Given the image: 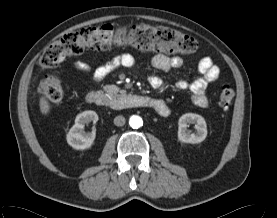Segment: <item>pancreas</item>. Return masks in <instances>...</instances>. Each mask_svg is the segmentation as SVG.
Returning a JSON list of instances; mask_svg holds the SVG:
<instances>
[{
  "instance_id": "1",
  "label": "pancreas",
  "mask_w": 277,
  "mask_h": 218,
  "mask_svg": "<svg viewBox=\"0 0 277 218\" xmlns=\"http://www.w3.org/2000/svg\"><path fill=\"white\" fill-rule=\"evenodd\" d=\"M103 89L113 98L126 94L125 90L120 89L116 85H105Z\"/></svg>"
}]
</instances>
